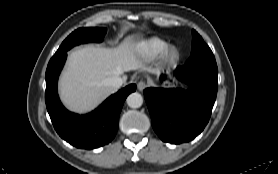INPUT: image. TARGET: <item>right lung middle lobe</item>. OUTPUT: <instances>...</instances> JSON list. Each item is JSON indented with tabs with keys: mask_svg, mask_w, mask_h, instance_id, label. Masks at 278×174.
I'll return each mask as SVG.
<instances>
[{
	"mask_svg": "<svg viewBox=\"0 0 278 174\" xmlns=\"http://www.w3.org/2000/svg\"><path fill=\"white\" fill-rule=\"evenodd\" d=\"M105 28H79L72 32L61 44L55 54H60L73 46L85 42H101L106 34Z\"/></svg>",
	"mask_w": 278,
	"mask_h": 174,
	"instance_id": "dd1d6c3e",
	"label": "right lung middle lobe"
}]
</instances>
